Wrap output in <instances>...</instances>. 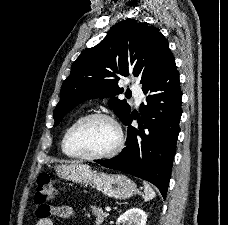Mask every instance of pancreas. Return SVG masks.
I'll return each mask as SVG.
<instances>
[{
	"label": "pancreas",
	"mask_w": 228,
	"mask_h": 225,
	"mask_svg": "<svg viewBox=\"0 0 228 225\" xmlns=\"http://www.w3.org/2000/svg\"><path fill=\"white\" fill-rule=\"evenodd\" d=\"M91 211L96 217V225H102L104 219L108 217L107 213H103L102 209H97V207H91Z\"/></svg>",
	"instance_id": "1"
}]
</instances>
